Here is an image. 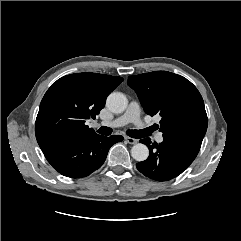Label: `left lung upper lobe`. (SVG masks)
Instances as JSON below:
<instances>
[{"label":"left lung upper lobe","instance_id":"1","mask_svg":"<svg viewBox=\"0 0 241 241\" xmlns=\"http://www.w3.org/2000/svg\"><path fill=\"white\" fill-rule=\"evenodd\" d=\"M128 85L135 90L148 115L159 114L163 136L204 137L208 119L202 96L186 78L167 71L129 76Z\"/></svg>","mask_w":241,"mask_h":241}]
</instances>
